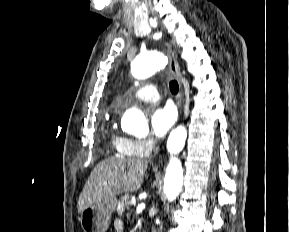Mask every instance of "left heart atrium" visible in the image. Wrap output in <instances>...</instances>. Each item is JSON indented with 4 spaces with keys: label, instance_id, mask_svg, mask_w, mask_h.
I'll return each mask as SVG.
<instances>
[{
    "label": "left heart atrium",
    "instance_id": "obj_1",
    "mask_svg": "<svg viewBox=\"0 0 289 232\" xmlns=\"http://www.w3.org/2000/svg\"><path fill=\"white\" fill-rule=\"evenodd\" d=\"M176 111L173 106L165 105L153 109L150 116L151 132L157 138L163 137L174 125Z\"/></svg>",
    "mask_w": 289,
    "mask_h": 232
}]
</instances>
